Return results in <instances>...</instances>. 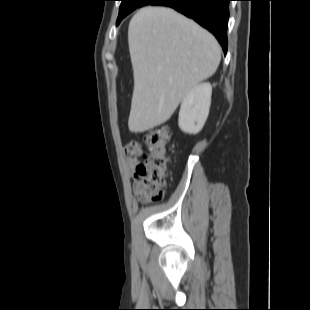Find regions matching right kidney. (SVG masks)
Wrapping results in <instances>:
<instances>
[{"label": "right kidney", "mask_w": 310, "mask_h": 310, "mask_svg": "<svg viewBox=\"0 0 310 310\" xmlns=\"http://www.w3.org/2000/svg\"><path fill=\"white\" fill-rule=\"evenodd\" d=\"M212 87L210 83L196 85L184 97L179 112V128L188 134L199 133L209 114Z\"/></svg>", "instance_id": "obj_1"}]
</instances>
